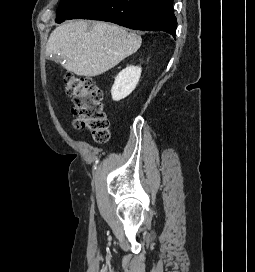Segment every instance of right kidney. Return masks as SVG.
<instances>
[{"label":"right kidney","mask_w":255,"mask_h":272,"mask_svg":"<svg viewBox=\"0 0 255 272\" xmlns=\"http://www.w3.org/2000/svg\"><path fill=\"white\" fill-rule=\"evenodd\" d=\"M140 75V67L128 66L123 69L115 78V82L112 86V99L114 101H119L127 97L136 88Z\"/></svg>","instance_id":"1"}]
</instances>
